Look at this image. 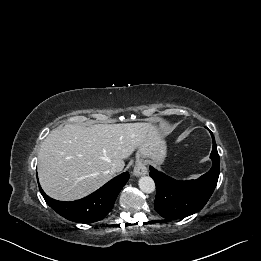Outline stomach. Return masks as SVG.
<instances>
[{
	"label": "stomach",
	"instance_id": "stomach-1",
	"mask_svg": "<svg viewBox=\"0 0 261 261\" xmlns=\"http://www.w3.org/2000/svg\"><path fill=\"white\" fill-rule=\"evenodd\" d=\"M167 147L162 134L155 128L146 136L138 148L137 161L150 159L161 164L166 157Z\"/></svg>",
	"mask_w": 261,
	"mask_h": 261
}]
</instances>
